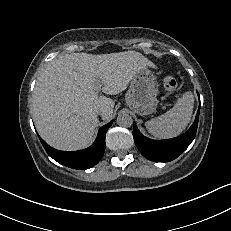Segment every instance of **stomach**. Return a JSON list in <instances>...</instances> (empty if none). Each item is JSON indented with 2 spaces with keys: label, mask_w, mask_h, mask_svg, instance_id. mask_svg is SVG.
I'll use <instances>...</instances> for the list:
<instances>
[{
  "label": "stomach",
  "mask_w": 231,
  "mask_h": 231,
  "mask_svg": "<svg viewBox=\"0 0 231 231\" xmlns=\"http://www.w3.org/2000/svg\"><path fill=\"white\" fill-rule=\"evenodd\" d=\"M158 86L156 77L148 68L139 70L131 79L125 98L126 105L141 116L155 112Z\"/></svg>",
  "instance_id": "stomach-1"
}]
</instances>
